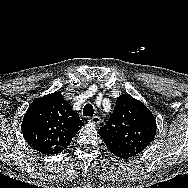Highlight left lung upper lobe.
Listing matches in <instances>:
<instances>
[{
	"label": "left lung upper lobe",
	"mask_w": 188,
	"mask_h": 188,
	"mask_svg": "<svg viewBox=\"0 0 188 188\" xmlns=\"http://www.w3.org/2000/svg\"><path fill=\"white\" fill-rule=\"evenodd\" d=\"M156 129L150 110L129 94H122L116 100L109 121L99 129V134L106 145L128 158L141 153L151 144Z\"/></svg>",
	"instance_id": "left-lung-upper-lobe-1"
}]
</instances>
